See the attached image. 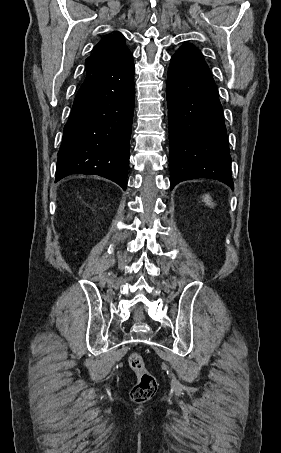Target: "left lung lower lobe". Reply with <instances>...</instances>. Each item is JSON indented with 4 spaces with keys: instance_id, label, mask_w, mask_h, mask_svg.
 Segmentation results:
<instances>
[{
    "instance_id": "left-lung-lower-lobe-1",
    "label": "left lung lower lobe",
    "mask_w": 281,
    "mask_h": 453,
    "mask_svg": "<svg viewBox=\"0 0 281 453\" xmlns=\"http://www.w3.org/2000/svg\"><path fill=\"white\" fill-rule=\"evenodd\" d=\"M167 103L171 189L195 178L219 180L233 189L217 87L201 52L191 44L181 46L171 58Z\"/></svg>"
}]
</instances>
